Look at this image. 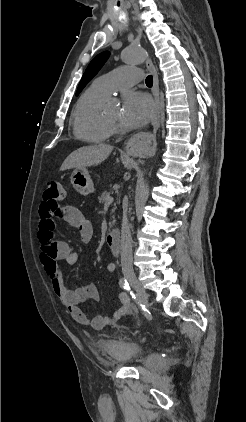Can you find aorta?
I'll return each instance as SVG.
<instances>
[{
  "instance_id": "aorta-1",
  "label": "aorta",
  "mask_w": 246,
  "mask_h": 422,
  "mask_svg": "<svg viewBox=\"0 0 246 422\" xmlns=\"http://www.w3.org/2000/svg\"><path fill=\"white\" fill-rule=\"evenodd\" d=\"M146 58L144 48L141 46H130L122 51V59L128 64L142 63Z\"/></svg>"
}]
</instances>
